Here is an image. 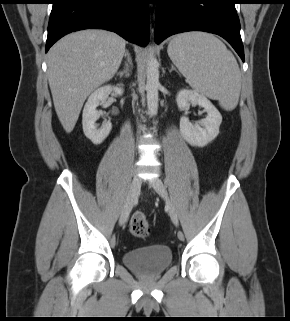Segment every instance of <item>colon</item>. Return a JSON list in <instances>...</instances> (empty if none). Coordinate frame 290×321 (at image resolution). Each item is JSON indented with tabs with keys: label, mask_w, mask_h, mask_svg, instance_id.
Wrapping results in <instances>:
<instances>
[{
	"label": "colon",
	"mask_w": 290,
	"mask_h": 321,
	"mask_svg": "<svg viewBox=\"0 0 290 321\" xmlns=\"http://www.w3.org/2000/svg\"><path fill=\"white\" fill-rule=\"evenodd\" d=\"M129 228L132 235L141 239L148 237L151 231L146 215L141 212H136L132 215Z\"/></svg>",
	"instance_id": "colon-1"
}]
</instances>
